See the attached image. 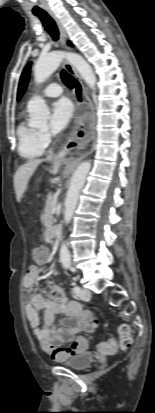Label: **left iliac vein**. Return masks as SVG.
<instances>
[{
	"label": "left iliac vein",
	"mask_w": 155,
	"mask_h": 413,
	"mask_svg": "<svg viewBox=\"0 0 155 413\" xmlns=\"http://www.w3.org/2000/svg\"><path fill=\"white\" fill-rule=\"evenodd\" d=\"M78 296L80 297V299L88 301L91 298V292L86 288H82Z\"/></svg>",
	"instance_id": "obj_1"
}]
</instances>
